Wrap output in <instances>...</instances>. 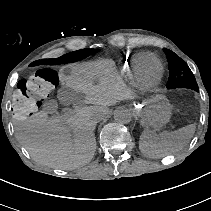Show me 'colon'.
I'll return each mask as SVG.
<instances>
[{"label": "colon", "instance_id": "1", "mask_svg": "<svg viewBox=\"0 0 211 211\" xmlns=\"http://www.w3.org/2000/svg\"><path fill=\"white\" fill-rule=\"evenodd\" d=\"M58 83L57 72L49 68H40L29 78L19 81L12 96L13 116L18 120L30 118Z\"/></svg>", "mask_w": 211, "mask_h": 211}]
</instances>
